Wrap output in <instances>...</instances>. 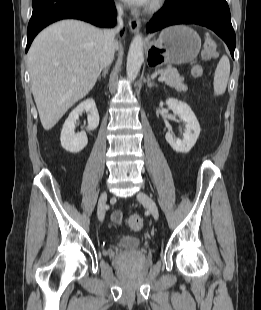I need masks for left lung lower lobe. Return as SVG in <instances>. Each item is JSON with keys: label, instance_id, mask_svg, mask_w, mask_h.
<instances>
[{"label": "left lung lower lobe", "instance_id": "0a47b994", "mask_svg": "<svg viewBox=\"0 0 261 310\" xmlns=\"http://www.w3.org/2000/svg\"><path fill=\"white\" fill-rule=\"evenodd\" d=\"M175 24H198L213 30L226 42L234 58L236 37L226 0H166L147 24V30L152 33Z\"/></svg>", "mask_w": 261, "mask_h": 310}]
</instances>
